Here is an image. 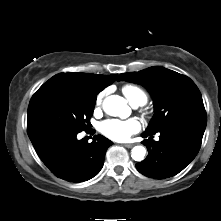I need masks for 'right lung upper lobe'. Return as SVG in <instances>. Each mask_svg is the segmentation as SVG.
I'll return each instance as SVG.
<instances>
[{
	"label": "right lung upper lobe",
	"instance_id": "cb5924a9",
	"mask_svg": "<svg viewBox=\"0 0 221 221\" xmlns=\"http://www.w3.org/2000/svg\"><path fill=\"white\" fill-rule=\"evenodd\" d=\"M114 75H98L91 73H59L47 82H62L74 85L84 92L97 95L100 91L113 83L117 78Z\"/></svg>",
	"mask_w": 221,
	"mask_h": 221
}]
</instances>
